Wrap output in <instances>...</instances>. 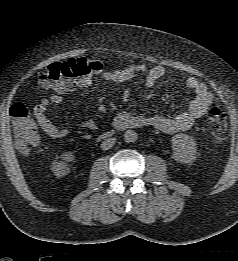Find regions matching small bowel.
Masks as SVG:
<instances>
[{
    "mask_svg": "<svg viewBox=\"0 0 238 261\" xmlns=\"http://www.w3.org/2000/svg\"><path fill=\"white\" fill-rule=\"evenodd\" d=\"M165 68L156 65L148 68L143 63L130 64L128 66L105 70L102 73L103 79L110 84L120 83L133 78L137 74H146L145 86L152 87L159 79L165 76ZM92 78L80 79L68 90L75 88H87L91 86ZM185 86L191 90L194 97L188 104L185 111L173 116L165 117L162 115L134 116L129 112H120L114 118V125L117 129L123 130L134 127H152L164 133L173 134L191 128L194 123L204 116L213 102V96L205 83L194 76L184 79ZM66 91V92H68ZM66 92L56 91L49 98H44L35 106L34 115L42 131L53 139L64 138L69 134L66 127H57L48 117L47 109L51 104H60ZM79 127L86 130H95L96 123L92 119H87L79 124Z\"/></svg>",
    "mask_w": 238,
    "mask_h": 261,
    "instance_id": "1",
    "label": "small bowel"
}]
</instances>
